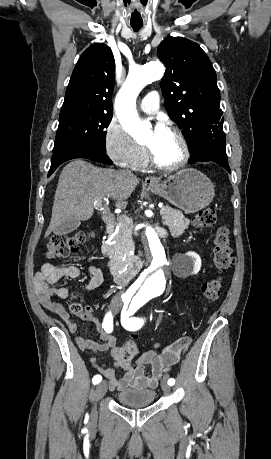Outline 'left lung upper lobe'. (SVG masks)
<instances>
[{"label": "left lung upper lobe", "mask_w": 271, "mask_h": 459, "mask_svg": "<svg viewBox=\"0 0 271 459\" xmlns=\"http://www.w3.org/2000/svg\"><path fill=\"white\" fill-rule=\"evenodd\" d=\"M157 54L166 66L161 81L165 108L182 129L195 159L206 132L224 121L215 70L200 46L182 37L163 40Z\"/></svg>", "instance_id": "1"}]
</instances>
